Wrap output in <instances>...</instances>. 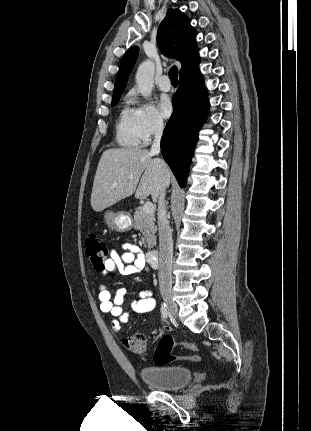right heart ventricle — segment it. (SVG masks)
I'll return each instance as SVG.
<instances>
[{"label":"right heart ventricle","instance_id":"right-heart-ventricle-1","mask_svg":"<svg viewBox=\"0 0 311 431\" xmlns=\"http://www.w3.org/2000/svg\"><path fill=\"white\" fill-rule=\"evenodd\" d=\"M142 138V127L135 109L123 106L119 111L115 125L117 144L125 148H138Z\"/></svg>","mask_w":311,"mask_h":431}]
</instances>
